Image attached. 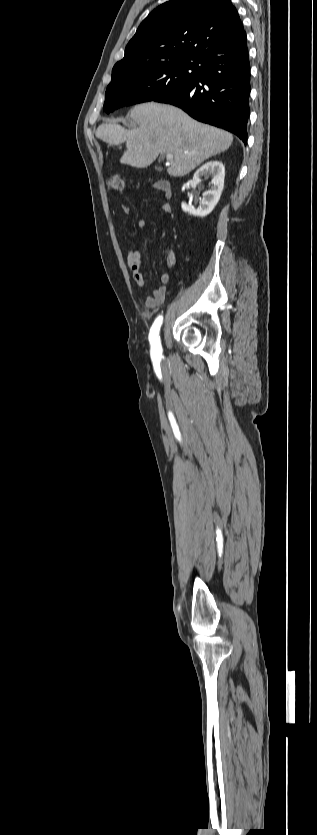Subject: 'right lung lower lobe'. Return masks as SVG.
<instances>
[{"label": "right lung lower lobe", "instance_id": "98d812e1", "mask_svg": "<svg viewBox=\"0 0 317 835\" xmlns=\"http://www.w3.org/2000/svg\"><path fill=\"white\" fill-rule=\"evenodd\" d=\"M197 77L154 101L182 108L194 119L228 130L247 142L250 63L247 38L203 55Z\"/></svg>", "mask_w": 317, "mask_h": 835}]
</instances>
